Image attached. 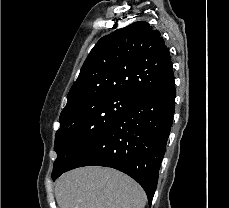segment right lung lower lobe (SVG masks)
Wrapping results in <instances>:
<instances>
[{"mask_svg":"<svg viewBox=\"0 0 229 208\" xmlns=\"http://www.w3.org/2000/svg\"><path fill=\"white\" fill-rule=\"evenodd\" d=\"M175 96L174 78L143 95L88 142L64 172L91 165L118 169L143 187L150 205L173 122Z\"/></svg>","mask_w":229,"mask_h":208,"instance_id":"98d812e1","label":"right lung lower lobe"}]
</instances>
